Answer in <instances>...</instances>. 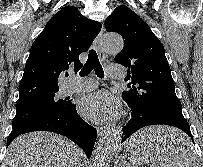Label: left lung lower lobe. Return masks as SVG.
Returning a JSON list of instances; mask_svg holds the SVG:
<instances>
[{"mask_svg": "<svg viewBox=\"0 0 203 167\" xmlns=\"http://www.w3.org/2000/svg\"><path fill=\"white\" fill-rule=\"evenodd\" d=\"M131 115L132 118L129 120L127 125L123 128V141H125L129 136H131L133 133H135L137 130H139L142 127L149 126V125H169L173 127H177L183 132H185L193 141V137L190 131L189 124L187 120L182 115V110L180 109H171V110H165L159 113L155 114H144L142 112H139L135 108H131ZM186 141L180 142L177 147L184 148L185 150L190 148V139L186 137ZM122 141V142H123ZM194 143V141H193ZM162 143L159 142V140L155 138L151 139H144L143 142L133 145V150L136 149H144V148H156L158 145Z\"/></svg>", "mask_w": 203, "mask_h": 167, "instance_id": "1", "label": "left lung lower lobe"}]
</instances>
